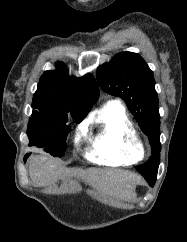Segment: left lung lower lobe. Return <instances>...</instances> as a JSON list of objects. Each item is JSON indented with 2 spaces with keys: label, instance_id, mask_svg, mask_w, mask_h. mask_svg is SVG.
I'll return each mask as SVG.
<instances>
[{
  "label": "left lung lower lobe",
  "instance_id": "1",
  "mask_svg": "<svg viewBox=\"0 0 187 242\" xmlns=\"http://www.w3.org/2000/svg\"><path fill=\"white\" fill-rule=\"evenodd\" d=\"M144 178L146 179V181L149 183L151 187L154 186L156 181V176H145Z\"/></svg>",
  "mask_w": 187,
  "mask_h": 242
}]
</instances>
